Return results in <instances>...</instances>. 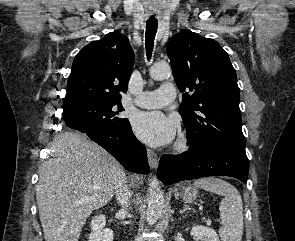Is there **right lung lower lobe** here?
Returning a JSON list of instances; mask_svg holds the SVG:
<instances>
[{"mask_svg": "<svg viewBox=\"0 0 295 241\" xmlns=\"http://www.w3.org/2000/svg\"><path fill=\"white\" fill-rule=\"evenodd\" d=\"M73 129L86 133L128 171L141 174L150 172L146 148L136 139L130 125L124 130H115L97 124L81 125Z\"/></svg>", "mask_w": 295, "mask_h": 241, "instance_id": "right-lung-lower-lobe-1", "label": "right lung lower lobe"}]
</instances>
